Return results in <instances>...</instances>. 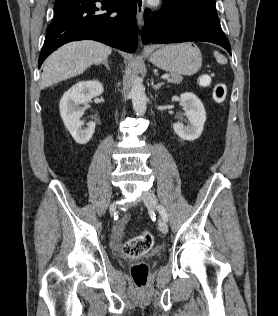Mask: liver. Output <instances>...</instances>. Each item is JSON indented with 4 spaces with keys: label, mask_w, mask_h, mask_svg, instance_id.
<instances>
[{
    "label": "liver",
    "mask_w": 278,
    "mask_h": 316,
    "mask_svg": "<svg viewBox=\"0 0 278 316\" xmlns=\"http://www.w3.org/2000/svg\"><path fill=\"white\" fill-rule=\"evenodd\" d=\"M111 52L109 46L92 40L71 42L60 47L43 65L41 89L82 74L91 65L107 59Z\"/></svg>",
    "instance_id": "6515ba94"
}]
</instances>
